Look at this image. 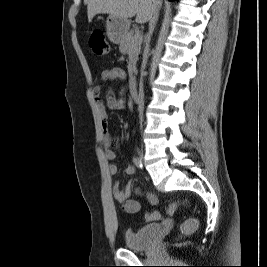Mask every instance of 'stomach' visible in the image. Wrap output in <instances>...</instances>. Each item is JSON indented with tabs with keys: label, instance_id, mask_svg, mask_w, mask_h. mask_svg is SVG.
I'll list each match as a JSON object with an SVG mask.
<instances>
[{
	"label": "stomach",
	"instance_id": "obj_1",
	"mask_svg": "<svg viewBox=\"0 0 267 267\" xmlns=\"http://www.w3.org/2000/svg\"><path fill=\"white\" fill-rule=\"evenodd\" d=\"M129 27L130 21L128 19L109 15L106 21L108 39L113 43H119L128 32Z\"/></svg>",
	"mask_w": 267,
	"mask_h": 267
}]
</instances>
